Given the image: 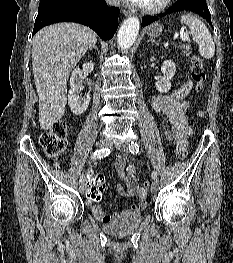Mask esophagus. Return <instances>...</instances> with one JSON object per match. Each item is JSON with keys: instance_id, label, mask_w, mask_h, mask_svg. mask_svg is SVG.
<instances>
[{"instance_id": "obj_1", "label": "esophagus", "mask_w": 233, "mask_h": 263, "mask_svg": "<svg viewBox=\"0 0 233 263\" xmlns=\"http://www.w3.org/2000/svg\"><path fill=\"white\" fill-rule=\"evenodd\" d=\"M122 12H123V14L125 16H130L131 15V12H129L128 10H123Z\"/></svg>"}]
</instances>
